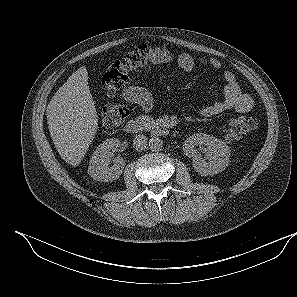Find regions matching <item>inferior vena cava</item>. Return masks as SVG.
Listing matches in <instances>:
<instances>
[{"label":"inferior vena cava","instance_id":"inferior-vena-cava-1","mask_svg":"<svg viewBox=\"0 0 297 297\" xmlns=\"http://www.w3.org/2000/svg\"><path fill=\"white\" fill-rule=\"evenodd\" d=\"M133 147L137 151H142L147 147V137L144 135H136L133 140Z\"/></svg>","mask_w":297,"mask_h":297}]
</instances>
